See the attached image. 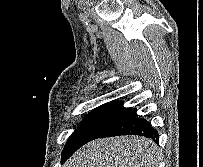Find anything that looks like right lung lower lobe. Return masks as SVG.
I'll use <instances>...</instances> for the list:
<instances>
[{
    "label": "right lung lower lobe",
    "mask_w": 203,
    "mask_h": 167,
    "mask_svg": "<svg viewBox=\"0 0 203 167\" xmlns=\"http://www.w3.org/2000/svg\"><path fill=\"white\" fill-rule=\"evenodd\" d=\"M119 135H139L152 138L158 143V132L144 118L137 117L136 109H131L116 125L98 138ZM72 154L64 148L61 162H65Z\"/></svg>",
    "instance_id": "1"
}]
</instances>
